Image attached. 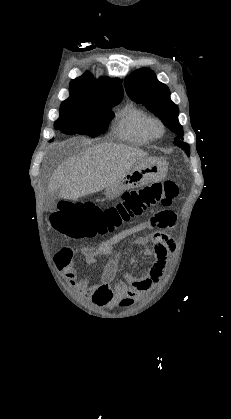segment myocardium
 I'll return each instance as SVG.
<instances>
[{
  "label": "myocardium",
  "mask_w": 231,
  "mask_h": 419,
  "mask_svg": "<svg viewBox=\"0 0 231 419\" xmlns=\"http://www.w3.org/2000/svg\"><path fill=\"white\" fill-rule=\"evenodd\" d=\"M147 129L152 137H160L165 131V126L159 118L151 117L148 120Z\"/></svg>",
  "instance_id": "1"
}]
</instances>
